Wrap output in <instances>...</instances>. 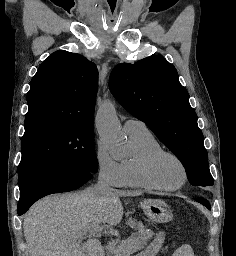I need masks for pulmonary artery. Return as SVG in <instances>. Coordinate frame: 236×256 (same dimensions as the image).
<instances>
[{
  "instance_id": "e3ab8cb5",
  "label": "pulmonary artery",
  "mask_w": 236,
  "mask_h": 256,
  "mask_svg": "<svg viewBox=\"0 0 236 256\" xmlns=\"http://www.w3.org/2000/svg\"><path fill=\"white\" fill-rule=\"evenodd\" d=\"M123 128L129 136L149 132L147 126L142 121L135 118L126 120L123 124Z\"/></svg>"
}]
</instances>
